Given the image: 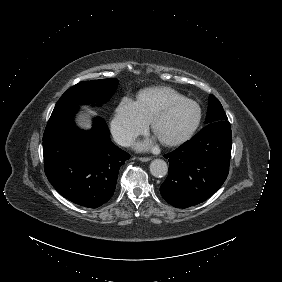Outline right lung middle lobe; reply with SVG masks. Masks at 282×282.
<instances>
[{
	"mask_svg": "<svg viewBox=\"0 0 282 282\" xmlns=\"http://www.w3.org/2000/svg\"><path fill=\"white\" fill-rule=\"evenodd\" d=\"M117 86L116 78L80 82L62 95L53 111L68 105L102 104L110 99Z\"/></svg>",
	"mask_w": 282,
	"mask_h": 282,
	"instance_id": "obj_1",
	"label": "right lung middle lobe"
}]
</instances>
